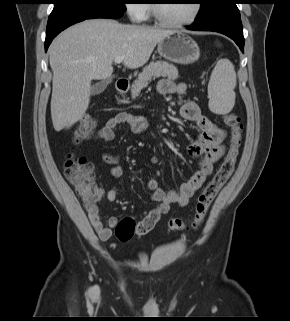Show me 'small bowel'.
<instances>
[{
	"mask_svg": "<svg viewBox=\"0 0 290 321\" xmlns=\"http://www.w3.org/2000/svg\"><path fill=\"white\" fill-rule=\"evenodd\" d=\"M158 91L162 95H184L187 91L185 83H175L170 79L159 82ZM184 119L195 124L198 136L188 146L187 152L198 161V171L186 182L182 183L178 189L164 191L159 186L157 177L148 179L147 185L151 191V197L157 205L137 224V234H146L160 218L166 214L171 205L185 206L195 191L199 189L211 175L214 163L221 158L224 153V140L226 133L217 127L211 120L201 113L198 104L192 100L185 101L180 109ZM127 125L136 134H142L148 123L146 119L139 115L121 112L110 117L104 126L96 133L95 139L110 142L115 137V128L119 125ZM102 159L106 164L112 165L110 176L119 179L123 175V169L118 165V157L110 154H103ZM119 190L113 186L106 193L101 189V197L114 202L117 200ZM89 220L101 240H108L112 236L113 228L117 224L116 218L112 217L105 224L99 213V208L94 205L86 208Z\"/></svg>",
	"mask_w": 290,
	"mask_h": 321,
	"instance_id": "obj_1",
	"label": "small bowel"
}]
</instances>
